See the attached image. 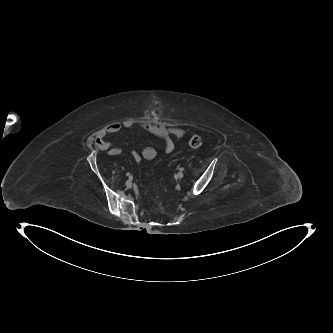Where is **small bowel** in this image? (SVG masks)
I'll return each mask as SVG.
<instances>
[{"label": "small bowel", "mask_w": 333, "mask_h": 333, "mask_svg": "<svg viewBox=\"0 0 333 333\" xmlns=\"http://www.w3.org/2000/svg\"><path fill=\"white\" fill-rule=\"evenodd\" d=\"M136 125L143 131L148 132L163 141L164 149L167 153L173 152L175 146L172 137L182 138L184 136V131L181 128L165 125V124H154L141 122L136 124L133 121H125L123 123H112L106 126L104 129L100 130L95 139L94 145L98 150L107 151L109 156H117L120 154V149L114 146L112 143L106 140V137L118 133L122 129L132 130ZM157 151L152 146H146L141 151L133 150L132 158L137 163L144 160H152L156 157Z\"/></svg>", "instance_id": "obj_1"}]
</instances>
